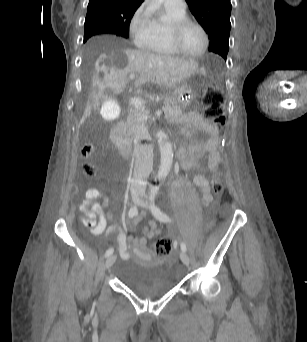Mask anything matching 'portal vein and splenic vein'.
<instances>
[{"instance_id":"portal-vein-and-splenic-vein-1","label":"portal vein and splenic vein","mask_w":307,"mask_h":342,"mask_svg":"<svg viewBox=\"0 0 307 342\" xmlns=\"http://www.w3.org/2000/svg\"><path fill=\"white\" fill-rule=\"evenodd\" d=\"M135 78V74H130L129 76V80H134ZM129 103L130 105H135L136 109H144L145 108V103L144 102H140V99L138 98V96L136 94L130 95L128 97ZM162 111L164 110L163 108L161 109Z\"/></svg>"}]
</instances>
